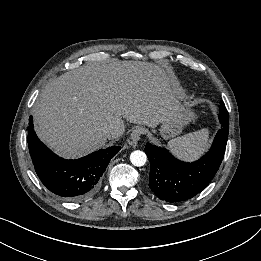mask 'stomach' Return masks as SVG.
Here are the masks:
<instances>
[{
  "label": "stomach",
  "instance_id": "stomach-1",
  "mask_svg": "<svg viewBox=\"0 0 261 261\" xmlns=\"http://www.w3.org/2000/svg\"><path fill=\"white\" fill-rule=\"evenodd\" d=\"M195 119V113L188 107H183L177 114L161 123L159 132L164 139L179 135L184 127Z\"/></svg>",
  "mask_w": 261,
  "mask_h": 261
}]
</instances>
